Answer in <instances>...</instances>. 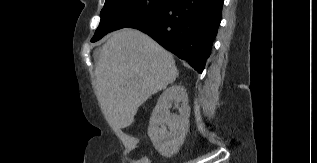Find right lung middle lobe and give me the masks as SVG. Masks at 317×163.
Wrapping results in <instances>:
<instances>
[{
	"label": "right lung middle lobe",
	"mask_w": 317,
	"mask_h": 163,
	"mask_svg": "<svg viewBox=\"0 0 317 163\" xmlns=\"http://www.w3.org/2000/svg\"><path fill=\"white\" fill-rule=\"evenodd\" d=\"M169 0H106L100 24L92 42L104 35L140 21L162 8Z\"/></svg>",
	"instance_id": "1"
}]
</instances>
